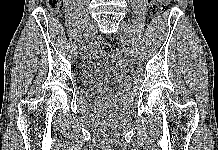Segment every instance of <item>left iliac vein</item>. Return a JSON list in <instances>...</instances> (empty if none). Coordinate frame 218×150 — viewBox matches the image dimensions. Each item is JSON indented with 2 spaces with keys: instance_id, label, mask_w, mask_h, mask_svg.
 <instances>
[{
  "instance_id": "4c4485c4",
  "label": "left iliac vein",
  "mask_w": 218,
  "mask_h": 150,
  "mask_svg": "<svg viewBox=\"0 0 218 150\" xmlns=\"http://www.w3.org/2000/svg\"><path fill=\"white\" fill-rule=\"evenodd\" d=\"M131 27L125 21L121 22V38L124 44L128 46V52L131 54L133 52V46L131 44Z\"/></svg>"
}]
</instances>
